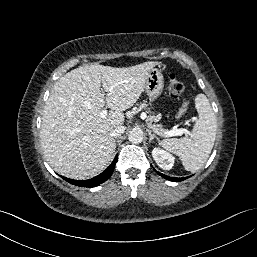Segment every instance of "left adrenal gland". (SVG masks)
<instances>
[{
	"label": "left adrenal gland",
	"instance_id": "obj_1",
	"mask_svg": "<svg viewBox=\"0 0 257 257\" xmlns=\"http://www.w3.org/2000/svg\"><path fill=\"white\" fill-rule=\"evenodd\" d=\"M147 132L149 134V143H151L153 139H156L157 141H159V138L155 134H152L151 130L147 129Z\"/></svg>",
	"mask_w": 257,
	"mask_h": 257
}]
</instances>
